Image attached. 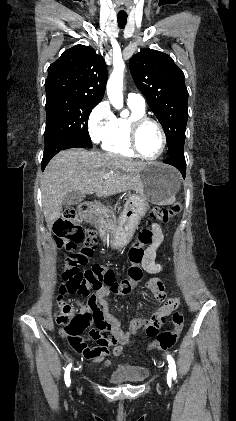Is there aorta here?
<instances>
[{
  "mask_svg": "<svg viewBox=\"0 0 236 421\" xmlns=\"http://www.w3.org/2000/svg\"><path fill=\"white\" fill-rule=\"evenodd\" d=\"M124 76V66H120L118 70H113L112 74H110L106 86L108 98L115 106V108H121L123 104L122 98V82Z\"/></svg>",
  "mask_w": 236,
  "mask_h": 421,
  "instance_id": "762f6f07",
  "label": "aorta"
}]
</instances>
